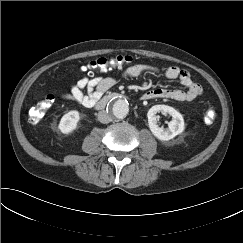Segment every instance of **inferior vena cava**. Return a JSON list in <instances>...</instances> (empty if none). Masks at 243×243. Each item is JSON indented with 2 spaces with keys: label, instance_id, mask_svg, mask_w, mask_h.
<instances>
[{
  "label": "inferior vena cava",
  "instance_id": "602c4592",
  "mask_svg": "<svg viewBox=\"0 0 243 243\" xmlns=\"http://www.w3.org/2000/svg\"><path fill=\"white\" fill-rule=\"evenodd\" d=\"M98 120L101 123H109L111 121V116L104 110L98 113Z\"/></svg>",
  "mask_w": 243,
  "mask_h": 243
}]
</instances>
